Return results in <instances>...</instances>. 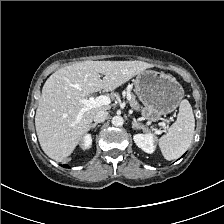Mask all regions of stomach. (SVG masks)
<instances>
[{"mask_svg":"<svg viewBox=\"0 0 224 224\" xmlns=\"http://www.w3.org/2000/svg\"><path fill=\"white\" fill-rule=\"evenodd\" d=\"M135 92L143 104L142 116L152 122L174 111L184 96V90L170 74L144 70L137 75Z\"/></svg>","mask_w":224,"mask_h":224,"instance_id":"obj_1","label":"stomach"}]
</instances>
